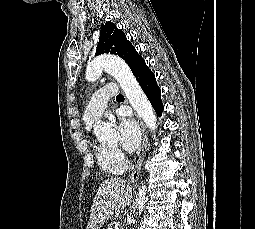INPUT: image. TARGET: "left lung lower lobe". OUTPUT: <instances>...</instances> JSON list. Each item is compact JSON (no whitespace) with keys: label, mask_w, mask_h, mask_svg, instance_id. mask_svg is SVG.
I'll use <instances>...</instances> for the list:
<instances>
[{"label":"left lung lower lobe","mask_w":255,"mask_h":229,"mask_svg":"<svg viewBox=\"0 0 255 229\" xmlns=\"http://www.w3.org/2000/svg\"><path fill=\"white\" fill-rule=\"evenodd\" d=\"M132 72L135 75L144 93L148 97L149 101L151 102L156 113L158 114V116H161L164 107L161 100L160 88L157 85L155 75L146 65L142 57L135 65Z\"/></svg>","instance_id":"left-lung-lower-lobe-1"}]
</instances>
